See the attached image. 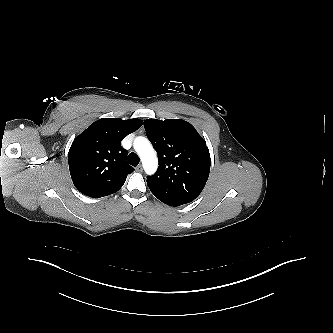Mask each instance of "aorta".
I'll return each mask as SVG.
<instances>
[{
    "mask_svg": "<svg viewBox=\"0 0 333 333\" xmlns=\"http://www.w3.org/2000/svg\"><path fill=\"white\" fill-rule=\"evenodd\" d=\"M134 149L142 161L145 172L148 175L155 173L158 167V159L149 140L143 136L136 137Z\"/></svg>",
    "mask_w": 333,
    "mask_h": 333,
    "instance_id": "762f6f07",
    "label": "aorta"
}]
</instances>
